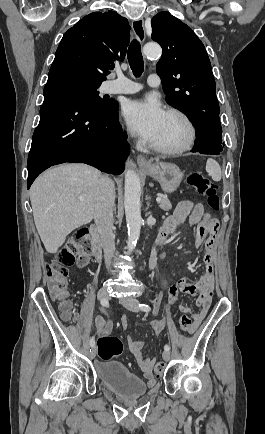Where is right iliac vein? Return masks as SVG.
I'll use <instances>...</instances> for the list:
<instances>
[{
	"mask_svg": "<svg viewBox=\"0 0 265 434\" xmlns=\"http://www.w3.org/2000/svg\"><path fill=\"white\" fill-rule=\"evenodd\" d=\"M98 298H99V299H106V300L109 299V294H108V292L106 291V289H100V290H99V292H98ZM96 353H97V349H96V347H93V348L90 349V351H89V356H90L91 358H95Z\"/></svg>",
	"mask_w": 265,
	"mask_h": 434,
	"instance_id": "right-iliac-vein-1",
	"label": "right iliac vein"
}]
</instances>
